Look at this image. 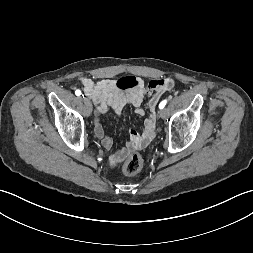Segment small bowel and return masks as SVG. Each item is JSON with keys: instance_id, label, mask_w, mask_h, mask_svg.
Here are the masks:
<instances>
[{"instance_id": "obj_1", "label": "small bowel", "mask_w": 253, "mask_h": 253, "mask_svg": "<svg viewBox=\"0 0 253 253\" xmlns=\"http://www.w3.org/2000/svg\"><path fill=\"white\" fill-rule=\"evenodd\" d=\"M80 80L85 94L92 99L96 107L93 121L95 134L107 150L112 149L113 140L105 132L101 114L109 110L120 114L127 105H131L136 114L146 115L142 132L130 131L125 145L112 151L109 156L112 166L121 163L132 150L145 147L153 139L156 129L154 107L160 97L174 85L170 78L154 79L148 84L138 77H124L119 81L102 79L94 82L87 77ZM146 97H149V100L144 104Z\"/></svg>"}]
</instances>
